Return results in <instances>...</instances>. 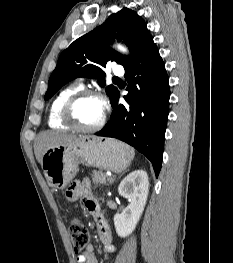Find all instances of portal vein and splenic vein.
<instances>
[{
    "label": "portal vein and splenic vein",
    "instance_id": "obj_1",
    "mask_svg": "<svg viewBox=\"0 0 233 263\" xmlns=\"http://www.w3.org/2000/svg\"><path fill=\"white\" fill-rule=\"evenodd\" d=\"M112 180H113V178L110 177V178H109V181H112Z\"/></svg>",
    "mask_w": 233,
    "mask_h": 263
}]
</instances>
